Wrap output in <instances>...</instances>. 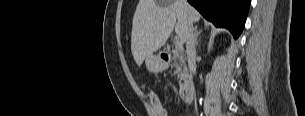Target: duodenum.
Instances as JSON below:
<instances>
[{"instance_id": "duodenum-1", "label": "duodenum", "mask_w": 305, "mask_h": 116, "mask_svg": "<svg viewBox=\"0 0 305 116\" xmlns=\"http://www.w3.org/2000/svg\"><path fill=\"white\" fill-rule=\"evenodd\" d=\"M163 57L168 60L170 59V55L168 53H165ZM179 93L182 101L184 103H189L192 100L193 97V81L191 77L186 76L181 80Z\"/></svg>"}]
</instances>
